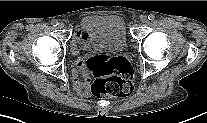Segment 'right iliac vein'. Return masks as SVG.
I'll list each match as a JSON object with an SVG mask.
<instances>
[{
  "label": "right iliac vein",
  "mask_w": 207,
  "mask_h": 123,
  "mask_svg": "<svg viewBox=\"0 0 207 123\" xmlns=\"http://www.w3.org/2000/svg\"><path fill=\"white\" fill-rule=\"evenodd\" d=\"M64 23L63 22H60L59 24H58V28H60V29H63L64 28Z\"/></svg>",
  "instance_id": "1"
}]
</instances>
